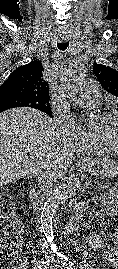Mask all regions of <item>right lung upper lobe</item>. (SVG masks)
Returning <instances> with one entry per match:
<instances>
[{
  "mask_svg": "<svg viewBox=\"0 0 118 269\" xmlns=\"http://www.w3.org/2000/svg\"><path fill=\"white\" fill-rule=\"evenodd\" d=\"M42 72L43 66L39 60L16 68L0 86V98L5 94H20L41 103H49V85L42 78Z\"/></svg>",
  "mask_w": 118,
  "mask_h": 269,
  "instance_id": "1",
  "label": "right lung upper lobe"
}]
</instances>
